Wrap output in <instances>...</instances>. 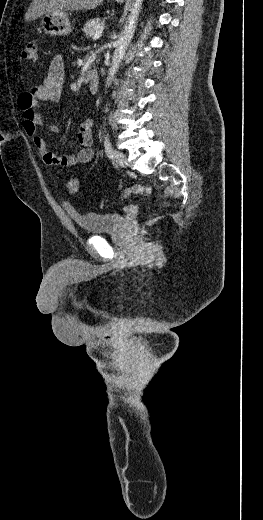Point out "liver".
Instances as JSON below:
<instances>
[{
	"label": "liver",
	"mask_w": 263,
	"mask_h": 520,
	"mask_svg": "<svg viewBox=\"0 0 263 520\" xmlns=\"http://www.w3.org/2000/svg\"><path fill=\"white\" fill-rule=\"evenodd\" d=\"M104 0H33L25 14V21H33L50 12L87 11Z\"/></svg>",
	"instance_id": "obj_1"
}]
</instances>
